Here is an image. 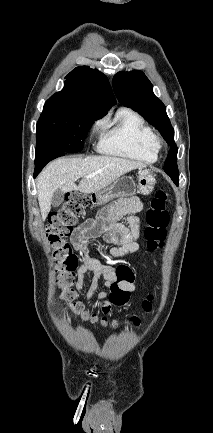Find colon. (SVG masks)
I'll use <instances>...</instances> for the list:
<instances>
[{
    "mask_svg": "<svg viewBox=\"0 0 213 433\" xmlns=\"http://www.w3.org/2000/svg\"><path fill=\"white\" fill-rule=\"evenodd\" d=\"M166 203V193L159 190L155 193L147 209V226L144 231V237L150 250H155L164 243L166 227L169 223ZM88 205L89 200L85 195L71 193L62 207L49 215L46 237L56 261L57 283L62 289L61 297L70 311L84 321L92 324L117 327L119 325L118 321L89 312L85 305L77 300V293L73 288L75 282L74 269L78 261L72 252L71 246L67 243L66 237L71 235L80 215ZM133 280L134 275L130 268L120 266L116 269V283L110 291V301L112 304L121 307L128 302L130 292L121 287L120 284H129ZM153 298V295L149 294L142 302V308L145 312L151 310ZM128 322L138 325L140 319L138 316H131L128 318Z\"/></svg>",
    "mask_w": 213,
    "mask_h": 433,
    "instance_id": "obj_1",
    "label": "colon"
}]
</instances>
